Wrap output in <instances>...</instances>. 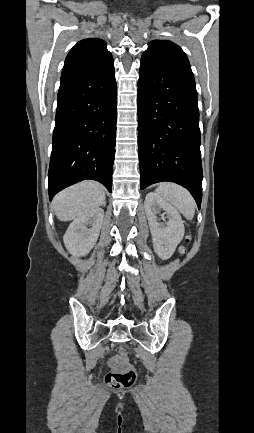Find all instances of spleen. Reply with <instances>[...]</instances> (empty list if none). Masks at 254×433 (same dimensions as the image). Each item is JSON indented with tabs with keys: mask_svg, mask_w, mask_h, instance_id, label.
Listing matches in <instances>:
<instances>
[{
	"mask_svg": "<svg viewBox=\"0 0 254 433\" xmlns=\"http://www.w3.org/2000/svg\"><path fill=\"white\" fill-rule=\"evenodd\" d=\"M156 193L176 207L186 219H193L195 201L186 189L174 183H161Z\"/></svg>",
	"mask_w": 254,
	"mask_h": 433,
	"instance_id": "3e777b00",
	"label": "spleen"
}]
</instances>
